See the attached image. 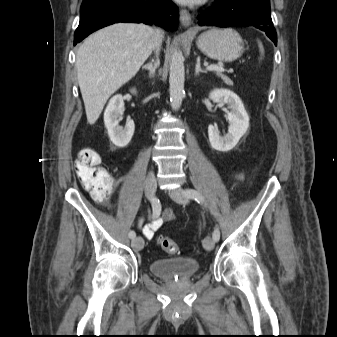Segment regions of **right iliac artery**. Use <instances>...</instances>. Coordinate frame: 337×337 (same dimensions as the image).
<instances>
[{"mask_svg":"<svg viewBox=\"0 0 337 337\" xmlns=\"http://www.w3.org/2000/svg\"><path fill=\"white\" fill-rule=\"evenodd\" d=\"M151 204H152V209H153V217H156L160 214L161 211V203L159 201V199H157L156 197H153L151 199ZM136 236V233L134 231H130L129 232V238L134 239Z\"/></svg>","mask_w":337,"mask_h":337,"instance_id":"obj_1","label":"right iliac artery"}]
</instances>
